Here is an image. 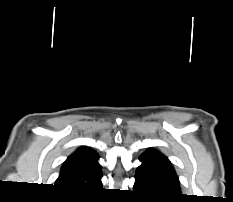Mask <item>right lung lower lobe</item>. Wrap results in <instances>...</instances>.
<instances>
[{"label": "right lung lower lobe", "mask_w": 233, "mask_h": 202, "mask_svg": "<svg viewBox=\"0 0 233 202\" xmlns=\"http://www.w3.org/2000/svg\"><path fill=\"white\" fill-rule=\"evenodd\" d=\"M101 189V187L95 191H93L92 193H89V194H85L84 196H88V197H91V196H94L95 194L98 193V191ZM66 192V191H65Z\"/></svg>", "instance_id": "98d812e1"}]
</instances>
